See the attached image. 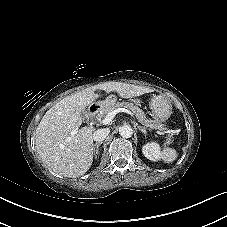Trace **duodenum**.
<instances>
[{"label":"duodenum","mask_w":227,"mask_h":227,"mask_svg":"<svg viewBox=\"0 0 227 227\" xmlns=\"http://www.w3.org/2000/svg\"><path fill=\"white\" fill-rule=\"evenodd\" d=\"M96 108L97 107H93V108L90 109V113H89L90 117H94L95 116V114L97 112V109Z\"/></svg>","instance_id":"410a0bca"}]
</instances>
